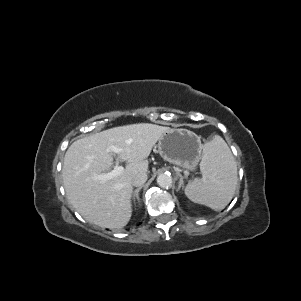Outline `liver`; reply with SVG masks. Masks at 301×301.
<instances>
[{
  "label": "liver",
  "mask_w": 301,
  "mask_h": 301,
  "mask_svg": "<svg viewBox=\"0 0 301 301\" xmlns=\"http://www.w3.org/2000/svg\"><path fill=\"white\" fill-rule=\"evenodd\" d=\"M169 128L149 123L114 127L73 142L66 151L62 178L73 207L90 223L103 228L121 229L132 215V178L147 172L153 146ZM126 161L122 174L107 181L98 176L111 168L113 153Z\"/></svg>",
  "instance_id": "obj_1"
}]
</instances>
